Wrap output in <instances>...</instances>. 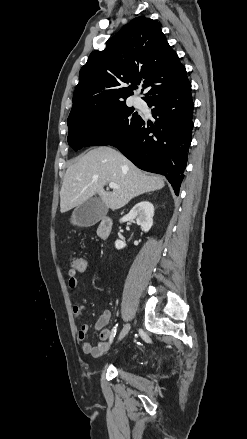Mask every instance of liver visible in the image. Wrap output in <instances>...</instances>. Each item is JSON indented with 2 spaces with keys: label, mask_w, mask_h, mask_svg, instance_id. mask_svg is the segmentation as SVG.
I'll list each match as a JSON object with an SVG mask.
<instances>
[{
  "label": "liver",
  "mask_w": 247,
  "mask_h": 439,
  "mask_svg": "<svg viewBox=\"0 0 247 439\" xmlns=\"http://www.w3.org/2000/svg\"><path fill=\"white\" fill-rule=\"evenodd\" d=\"M120 188L105 191L107 183ZM164 178L147 175L111 147L88 151L65 173L60 191V211L65 213L98 194L107 208L117 210L141 194L162 189Z\"/></svg>",
  "instance_id": "1"
}]
</instances>
